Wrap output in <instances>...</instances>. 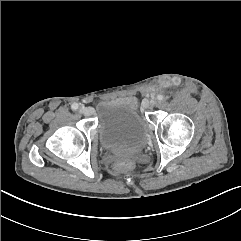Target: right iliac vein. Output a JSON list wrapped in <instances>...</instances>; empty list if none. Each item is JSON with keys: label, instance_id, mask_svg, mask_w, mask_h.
<instances>
[{"label": "right iliac vein", "instance_id": "63e3f726", "mask_svg": "<svg viewBox=\"0 0 241 241\" xmlns=\"http://www.w3.org/2000/svg\"><path fill=\"white\" fill-rule=\"evenodd\" d=\"M79 112L86 115V116H89L91 114V109L87 108V107H81L79 109Z\"/></svg>", "mask_w": 241, "mask_h": 241}]
</instances>
